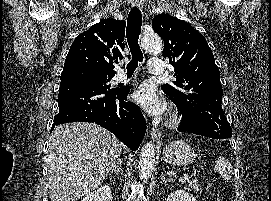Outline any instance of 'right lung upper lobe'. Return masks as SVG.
I'll return each instance as SVG.
<instances>
[{
	"label": "right lung upper lobe",
	"mask_w": 271,
	"mask_h": 201,
	"mask_svg": "<svg viewBox=\"0 0 271 201\" xmlns=\"http://www.w3.org/2000/svg\"><path fill=\"white\" fill-rule=\"evenodd\" d=\"M125 26L123 20L107 18L79 34L70 47L64 69L115 75L113 62L123 58Z\"/></svg>",
	"instance_id": "1"
}]
</instances>
